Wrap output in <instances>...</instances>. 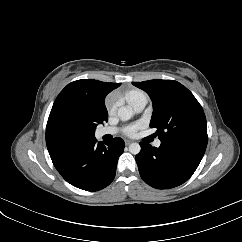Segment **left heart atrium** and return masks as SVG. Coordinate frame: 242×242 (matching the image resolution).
I'll list each match as a JSON object with an SVG mask.
<instances>
[{"label":"left heart atrium","mask_w":242,"mask_h":242,"mask_svg":"<svg viewBox=\"0 0 242 242\" xmlns=\"http://www.w3.org/2000/svg\"><path fill=\"white\" fill-rule=\"evenodd\" d=\"M137 129H138L137 126H132V127H128V128L126 129L125 132H126V134L129 135V136H133V135L136 134Z\"/></svg>","instance_id":"1"}]
</instances>
